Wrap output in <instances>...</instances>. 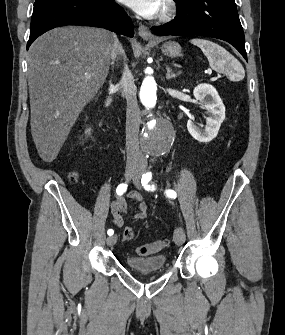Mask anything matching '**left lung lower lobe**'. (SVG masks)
Listing matches in <instances>:
<instances>
[{
  "instance_id": "obj_1",
  "label": "left lung lower lobe",
  "mask_w": 285,
  "mask_h": 335,
  "mask_svg": "<svg viewBox=\"0 0 285 335\" xmlns=\"http://www.w3.org/2000/svg\"><path fill=\"white\" fill-rule=\"evenodd\" d=\"M177 16L152 30L160 35H202L232 44L247 60L235 0H177Z\"/></svg>"
}]
</instances>
